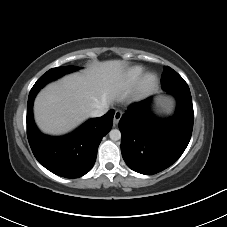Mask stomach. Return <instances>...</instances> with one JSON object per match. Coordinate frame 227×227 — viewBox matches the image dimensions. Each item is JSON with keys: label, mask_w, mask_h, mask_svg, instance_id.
Segmentation results:
<instances>
[{"label": "stomach", "mask_w": 227, "mask_h": 227, "mask_svg": "<svg viewBox=\"0 0 227 227\" xmlns=\"http://www.w3.org/2000/svg\"><path fill=\"white\" fill-rule=\"evenodd\" d=\"M157 107L160 112L170 113L173 109V101L170 98H162L157 102Z\"/></svg>", "instance_id": "obj_1"}]
</instances>
